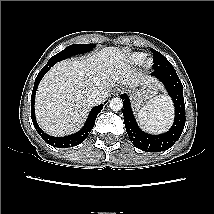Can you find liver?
I'll use <instances>...</instances> for the list:
<instances>
[{
  "instance_id": "liver-1",
  "label": "liver",
  "mask_w": 214,
  "mask_h": 214,
  "mask_svg": "<svg viewBox=\"0 0 214 214\" xmlns=\"http://www.w3.org/2000/svg\"><path fill=\"white\" fill-rule=\"evenodd\" d=\"M126 55L117 47H106L86 57L54 65L40 82L36 94L39 126L53 136L73 133L83 125L94 105L87 100L89 90L109 92L116 85L135 88L153 82L141 73H134Z\"/></svg>"
}]
</instances>
